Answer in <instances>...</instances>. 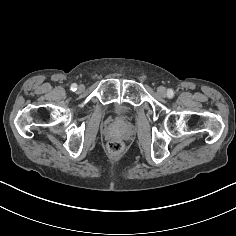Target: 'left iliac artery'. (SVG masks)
<instances>
[{"instance_id":"obj_1","label":"left iliac artery","mask_w":236,"mask_h":236,"mask_svg":"<svg viewBox=\"0 0 236 236\" xmlns=\"http://www.w3.org/2000/svg\"><path fill=\"white\" fill-rule=\"evenodd\" d=\"M173 95H174V91H173L172 89H168V91H167V96H168L169 98H172Z\"/></svg>"}]
</instances>
